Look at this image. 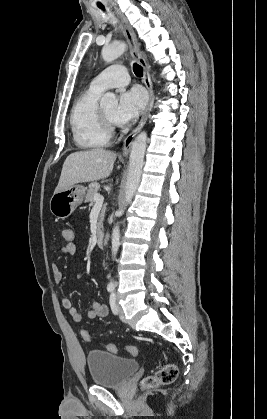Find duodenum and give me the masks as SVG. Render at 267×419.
<instances>
[{
  "label": "duodenum",
  "instance_id": "1",
  "mask_svg": "<svg viewBox=\"0 0 267 419\" xmlns=\"http://www.w3.org/2000/svg\"><path fill=\"white\" fill-rule=\"evenodd\" d=\"M96 243L98 247H103L105 245V235L103 232L97 233Z\"/></svg>",
  "mask_w": 267,
  "mask_h": 419
}]
</instances>
